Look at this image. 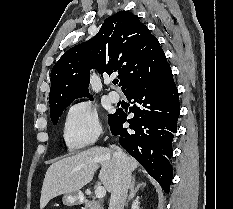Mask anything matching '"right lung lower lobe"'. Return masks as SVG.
Listing matches in <instances>:
<instances>
[{
  "label": "right lung lower lobe",
  "instance_id": "1",
  "mask_svg": "<svg viewBox=\"0 0 233 209\" xmlns=\"http://www.w3.org/2000/svg\"><path fill=\"white\" fill-rule=\"evenodd\" d=\"M134 104L129 112L117 110L109 121L113 135L147 172L156 179L165 192L172 181V140L177 132L180 112L179 95L168 64L155 78L125 94ZM134 116L126 120L127 114ZM129 123L123 128L122 123Z\"/></svg>",
  "mask_w": 233,
  "mask_h": 209
}]
</instances>
